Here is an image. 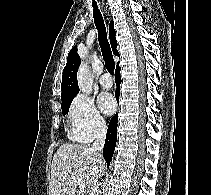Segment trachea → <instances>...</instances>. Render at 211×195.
Instances as JSON below:
<instances>
[{
	"label": "trachea",
	"mask_w": 211,
	"mask_h": 195,
	"mask_svg": "<svg viewBox=\"0 0 211 195\" xmlns=\"http://www.w3.org/2000/svg\"><path fill=\"white\" fill-rule=\"evenodd\" d=\"M93 6V17H94V23L98 30V37H99V44L102 51V56L105 61V66L107 70L112 73L115 69V62L113 59L112 51L109 45V42L107 40V33H106V27L104 24L103 17L100 13V10L98 9L97 4L94 2L92 4Z\"/></svg>",
	"instance_id": "1"
}]
</instances>
